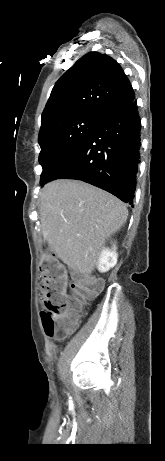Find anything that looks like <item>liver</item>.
I'll list each match as a JSON object with an SVG mask.
<instances>
[{"label": "liver", "mask_w": 165, "mask_h": 461, "mask_svg": "<svg viewBox=\"0 0 165 461\" xmlns=\"http://www.w3.org/2000/svg\"><path fill=\"white\" fill-rule=\"evenodd\" d=\"M44 240L71 269L91 274L106 239L125 224L126 205L115 196L76 180H56L41 192Z\"/></svg>", "instance_id": "obj_1"}]
</instances>
